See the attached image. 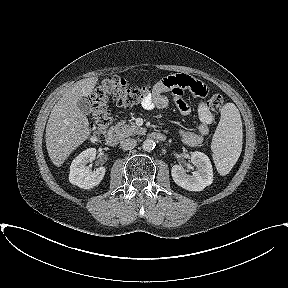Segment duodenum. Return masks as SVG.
<instances>
[{
	"instance_id": "410a0bca",
	"label": "duodenum",
	"mask_w": 288,
	"mask_h": 288,
	"mask_svg": "<svg viewBox=\"0 0 288 288\" xmlns=\"http://www.w3.org/2000/svg\"><path fill=\"white\" fill-rule=\"evenodd\" d=\"M150 137L157 141H164L166 136L161 132H153L150 134ZM120 141L119 134L115 129H110L106 136V144L110 147L116 146Z\"/></svg>"
}]
</instances>
